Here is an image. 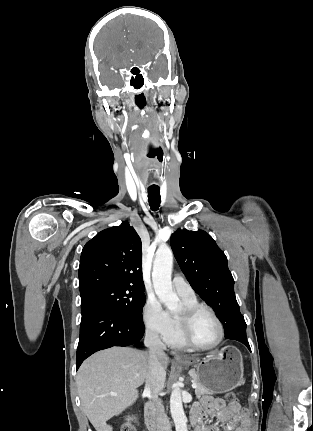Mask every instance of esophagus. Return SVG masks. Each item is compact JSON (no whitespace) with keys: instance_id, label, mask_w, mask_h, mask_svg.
<instances>
[{"instance_id":"obj_1","label":"esophagus","mask_w":313,"mask_h":431,"mask_svg":"<svg viewBox=\"0 0 313 431\" xmlns=\"http://www.w3.org/2000/svg\"><path fill=\"white\" fill-rule=\"evenodd\" d=\"M173 355H174V359H175V360H179V359H181V358H182V355H181V354H179V353H174Z\"/></svg>"}]
</instances>
